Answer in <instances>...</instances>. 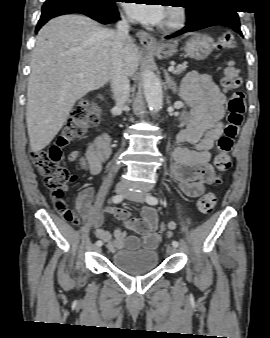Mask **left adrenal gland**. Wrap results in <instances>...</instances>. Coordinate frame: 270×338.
Instances as JSON below:
<instances>
[{
	"mask_svg": "<svg viewBox=\"0 0 270 338\" xmlns=\"http://www.w3.org/2000/svg\"><path fill=\"white\" fill-rule=\"evenodd\" d=\"M165 75V83L169 89H171L172 93H177L178 87L177 83L174 81L172 77H170L169 73L167 71H164Z\"/></svg>",
	"mask_w": 270,
	"mask_h": 338,
	"instance_id": "obj_1",
	"label": "left adrenal gland"
}]
</instances>
